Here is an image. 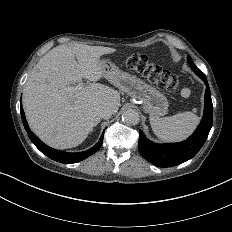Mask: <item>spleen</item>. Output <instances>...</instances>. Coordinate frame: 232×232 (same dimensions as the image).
Listing matches in <instances>:
<instances>
[{
  "label": "spleen",
  "mask_w": 232,
  "mask_h": 232,
  "mask_svg": "<svg viewBox=\"0 0 232 232\" xmlns=\"http://www.w3.org/2000/svg\"><path fill=\"white\" fill-rule=\"evenodd\" d=\"M200 117L192 112H183L170 117L150 116L154 134L162 141H182L192 134Z\"/></svg>",
  "instance_id": "obj_1"
}]
</instances>
